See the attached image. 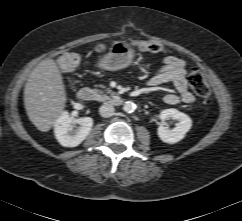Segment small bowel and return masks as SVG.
Listing matches in <instances>:
<instances>
[{
  "label": "small bowel",
  "mask_w": 242,
  "mask_h": 221,
  "mask_svg": "<svg viewBox=\"0 0 242 221\" xmlns=\"http://www.w3.org/2000/svg\"><path fill=\"white\" fill-rule=\"evenodd\" d=\"M186 74V62L181 58L168 56L163 59L162 67L149 78L148 85L154 87L170 83L178 94L164 95V103L167 105H177L180 102L191 104L195 101V97L188 89Z\"/></svg>",
  "instance_id": "obj_1"
}]
</instances>
